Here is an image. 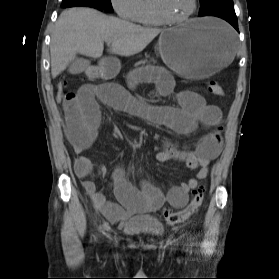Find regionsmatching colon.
<instances>
[{
	"mask_svg": "<svg viewBox=\"0 0 279 279\" xmlns=\"http://www.w3.org/2000/svg\"><path fill=\"white\" fill-rule=\"evenodd\" d=\"M207 91L214 95L223 94L222 87L216 82L209 83L207 85ZM67 93V82L65 80L59 81L56 87L57 99L62 102L63 99L66 97ZM204 194V187L198 186L193 190L191 200L185 208H183L182 210L166 209L164 211V217L167 223L175 225L188 220L200 208L203 202Z\"/></svg>",
	"mask_w": 279,
	"mask_h": 279,
	"instance_id": "obj_1",
	"label": "colon"
}]
</instances>
